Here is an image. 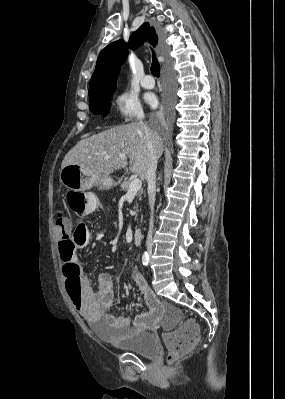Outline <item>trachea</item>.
I'll list each match as a JSON object with an SVG mask.
<instances>
[{
  "label": "trachea",
  "mask_w": 285,
  "mask_h": 399,
  "mask_svg": "<svg viewBox=\"0 0 285 399\" xmlns=\"http://www.w3.org/2000/svg\"><path fill=\"white\" fill-rule=\"evenodd\" d=\"M153 53V59H152V64H151V73L153 76L155 77H159L160 76V65L158 60L156 59L155 53L154 51H152Z\"/></svg>",
  "instance_id": "1"
}]
</instances>
